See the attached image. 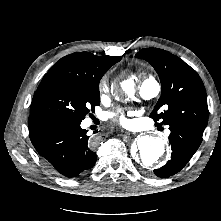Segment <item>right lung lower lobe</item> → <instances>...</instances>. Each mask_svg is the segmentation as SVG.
Returning a JSON list of instances; mask_svg holds the SVG:
<instances>
[{
	"mask_svg": "<svg viewBox=\"0 0 221 221\" xmlns=\"http://www.w3.org/2000/svg\"><path fill=\"white\" fill-rule=\"evenodd\" d=\"M81 121L66 117L29 116V136L44 163L55 173L76 177L96 162L94 146Z\"/></svg>",
	"mask_w": 221,
	"mask_h": 221,
	"instance_id": "obj_1",
	"label": "right lung lower lobe"
}]
</instances>
